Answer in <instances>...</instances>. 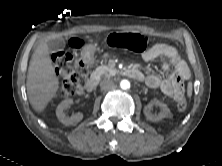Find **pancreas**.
Returning <instances> with one entry per match:
<instances>
[{
	"mask_svg": "<svg viewBox=\"0 0 222 166\" xmlns=\"http://www.w3.org/2000/svg\"><path fill=\"white\" fill-rule=\"evenodd\" d=\"M95 73L100 76L111 77L116 73V69L114 68V64L112 63V61H109L108 65L98 66L95 70Z\"/></svg>",
	"mask_w": 222,
	"mask_h": 166,
	"instance_id": "pancreas-1",
	"label": "pancreas"
}]
</instances>
